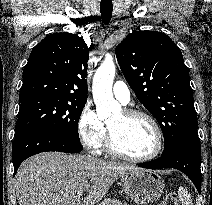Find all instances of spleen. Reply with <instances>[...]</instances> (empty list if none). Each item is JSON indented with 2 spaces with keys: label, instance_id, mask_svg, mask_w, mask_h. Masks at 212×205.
<instances>
[{
  "label": "spleen",
  "instance_id": "1",
  "mask_svg": "<svg viewBox=\"0 0 212 205\" xmlns=\"http://www.w3.org/2000/svg\"><path fill=\"white\" fill-rule=\"evenodd\" d=\"M178 194L182 205H193L192 198L185 188L179 187Z\"/></svg>",
  "mask_w": 212,
  "mask_h": 205
}]
</instances>
